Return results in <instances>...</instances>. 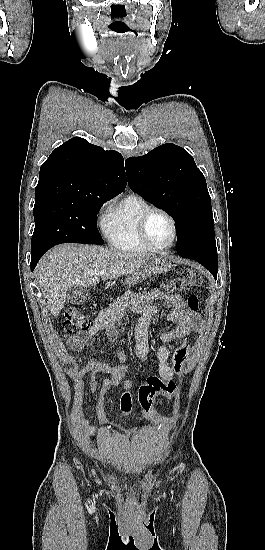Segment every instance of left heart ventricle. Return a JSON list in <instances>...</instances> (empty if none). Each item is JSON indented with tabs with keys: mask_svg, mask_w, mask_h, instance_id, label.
<instances>
[{
	"mask_svg": "<svg viewBox=\"0 0 265 550\" xmlns=\"http://www.w3.org/2000/svg\"><path fill=\"white\" fill-rule=\"evenodd\" d=\"M147 231L151 241L156 245H165L172 238L170 221L161 213H154L148 220Z\"/></svg>",
	"mask_w": 265,
	"mask_h": 550,
	"instance_id": "obj_1",
	"label": "left heart ventricle"
}]
</instances>
